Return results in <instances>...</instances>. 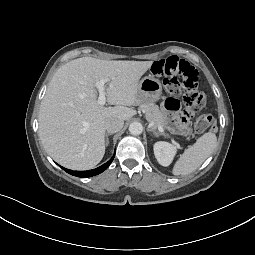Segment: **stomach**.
<instances>
[{
  "mask_svg": "<svg viewBox=\"0 0 255 255\" xmlns=\"http://www.w3.org/2000/svg\"><path fill=\"white\" fill-rule=\"evenodd\" d=\"M162 96L161 82L149 75L139 81L138 99L140 103H154Z\"/></svg>",
  "mask_w": 255,
  "mask_h": 255,
  "instance_id": "0dacf381",
  "label": "stomach"
}]
</instances>
